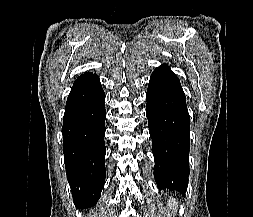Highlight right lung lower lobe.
Listing matches in <instances>:
<instances>
[{
	"instance_id": "1",
	"label": "right lung lower lobe",
	"mask_w": 253,
	"mask_h": 217,
	"mask_svg": "<svg viewBox=\"0 0 253 217\" xmlns=\"http://www.w3.org/2000/svg\"><path fill=\"white\" fill-rule=\"evenodd\" d=\"M105 93L96 74L79 76L63 120L64 161L77 208L94 206L105 182Z\"/></svg>"
}]
</instances>
